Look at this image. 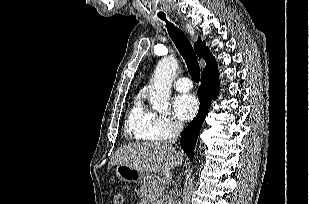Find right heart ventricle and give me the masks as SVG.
Masks as SVG:
<instances>
[{
	"label": "right heart ventricle",
	"instance_id": "obj_1",
	"mask_svg": "<svg viewBox=\"0 0 309 204\" xmlns=\"http://www.w3.org/2000/svg\"><path fill=\"white\" fill-rule=\"evenodd\" d=\"M153 113L147 110L137 98L128 112L125 122V135L137 141L151 140L149 129Z\"/></svg>",
	"mask_w": 309,
	"mask_h": 204
}]
</instances>
